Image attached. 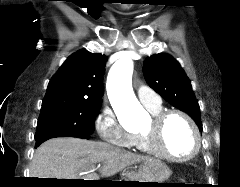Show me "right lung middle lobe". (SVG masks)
<instances>
[{
	"mask_svg": "<svg viewBox=\"0 0 240 187\" xmlns=\"http://www.w3.org/2000/svg\"><path fill=\"white\" fill-rule=\"evenodd\" d=\"M101 103H62L42 106L35 139L53 135L89 139Z\"/></svg>",
	"mask_w": 240,
	"mask_h": 187,
	"instance_id": "obj_1",
	"label": "right lung middle lobe"
}]
</instances>
